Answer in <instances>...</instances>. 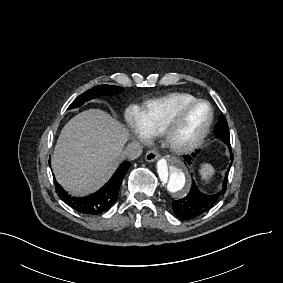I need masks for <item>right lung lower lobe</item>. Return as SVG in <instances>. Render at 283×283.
Listing matches in <instances>:
<instances>
[{"instance_id": "1", "label": "right lung lower lobe", "mask_w": 283, "mask_h": 283, "mask_svg": "<svg viewBox=\"0 0 283 283\" xmlns=\"http://www.w3.org/2000/svg\"><path fill=\"white\" fill-rule=\"evenodd\" d=\"M130 166L128 162H123L106 185L89 196L72 197L57 182H55L56 192L66 204L80 213L87 215L102 213L116 201L122 180Z\"/></svg>"}]
</instances>
